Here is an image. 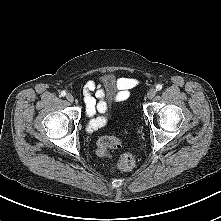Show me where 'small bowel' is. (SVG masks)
Wrapping results in <instances>:
<instances>
[{
  "instance_id": "c3829d8e",
  "label": "small bowel",
  "mask_w": 221,
  "mask_h": 221,
  "mask_svg": "<svg viewBox=\"0 0 221 221\" xmlns=\"http://www.w3.org/2000/svg\"><path fill=\"white\" fill-rule=\"evenodd\" d=\"M136 80L132 78H119L116 81L117 86V93L115 94V100L116 101H123L126 100L131 90L135 87ZM92 93H95L97 98L102 99L104 97L103 89H101L94 81L87 82L85 86V105H86V112L88 116H93L96 111L100 113H107L108 107L107 104L100 100L98 103H96L94 97L92 96ZM106 119L104 117H99L96 119H93L90 123V128L95 129L98 127H101L105 124Z\"/></svg>"
}]
</instances>
